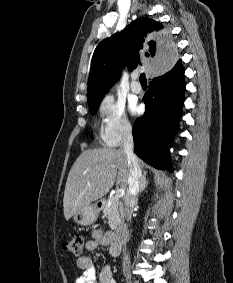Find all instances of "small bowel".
Listing matches in <instances>:
<instances>
[{"mask_svg":"<svg viewBox=\"0 0 233 283\" xmlns=\"http://www.w3.org/2000/svg\"><path fill=\"white\" fill-rule=\"evenodd\" d=\"M91 236L92 238L85 244L86 250L95 251L100 247L109 246L110 257L114 258L119 255L120 252H118L114 246V237L111 232L93 229ZM77 266L81 270V274L77 277L75 283H116L109 266H105L101 270L99 280L97 282L94 263L89 256H81L77 260Z\"/></svg>","mask_w":233,"mask_h":283,"instance_id":"c3829d8e","label":"small bowel"}]
</instances>
